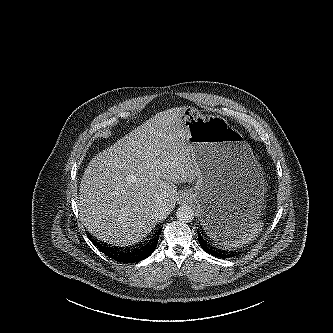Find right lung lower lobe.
Listing matches in <instances>:
<instances>
[{
	"instance_id": "right-lung-lower-lobe-1",
	"label": "right lung lower lobe",
	"mask_w": 333,
	"mask_h": 333,
	"mask_svg": "<svg viewBox=\"0 0 333 333\" xmlns=\"http://www.w3.org/2000/svg\"><path fill=\"white\" fill-rule=\"evenodd\" d=\"M159 233H156L154 237L145 245L141 250L134 253H122L113 249L101 246L99 243L93 241V243L108 257L124 263H134L149 257L155 250L158 242Z\"/></svg>"
}]
</instances>
